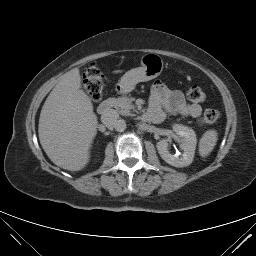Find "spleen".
I'll use <instances>...</instances> for the list:
<instances>
[{"mask_svg":"<svg viewBox=\"0 0 256 256\" xmlns=\"http://www.w3.org/2000/svg\"><path fill=\"white\" fill-rule=\"evenodd\" d=\"M218 140V133L216 130H207L199 142V154L202 157L208 156L214 149Z\"/></svg>","mask_w":256,"mask_h":256,"instance_id":"spleen-1","label":"spleen"}]
</instances>
